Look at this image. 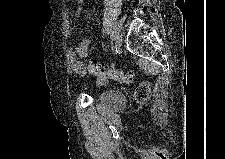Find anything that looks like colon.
<instances>
[{
  "label": "colon",
  "instance_id": "5ec220e1",
  "mask_svg": "<svg viewBox=\"0 0 225 159\" xmlns=\"http://www.w3.org/2000/svg\"><path fill=\"white\" fill-rule=\"evenodd\" d=\"M88 71L97 76L101 83H105L109 80L117 81L121 84H131L135 81V73L132 71L123 72L109 66H103L98 63H90L87 66ZM150 95V83H140L135 92L134 97L137 103H145Z\"/></svg>",
  "mask_w": 225,
  "mask_h": 159
}]
</instances>
